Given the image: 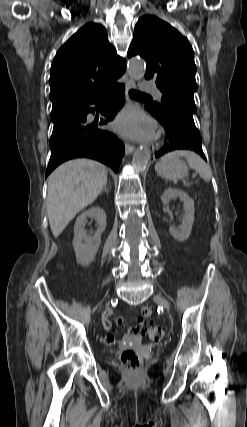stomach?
Here are the masks:
<instances>
[{
  "mask_svg": "<svg viewBox=\"0 0 247 427\" xmlns=\"http://www.w3.org/2000/svg\"><path fill=\"white\" fill-rule=\"evenodd\" d=\"M156 170L158 174L166 180L173 181L184 178L188 173L187 165L179 158H175L164 164H159Z\"/></svg>",
  "mask_w": 247,
  "mask_h": 427,
  "instance_id": "0dacf381",
  "label": "stomach"
}]
</instances>
